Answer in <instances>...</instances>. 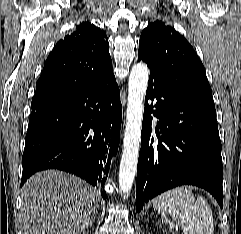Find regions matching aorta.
Wrapping results in <instances>:
<instances>
[{"label": "aorta", "instance_id": "aorta-1", "mask_svg": "<svg viewBox=\"0 0 241 234\" xmlns=\"http://www.w3.org/2000/svg\"><path fill=\"white\" fill-rule=\"evenodd\" d=\"M148 78L149 69L145 63L140 62L132 67L128 83L126 124L119 168V186L124 197H128L137 171Z\"/></svg>", "mask_w": 241, "mask_h": 234}]
</instances>
